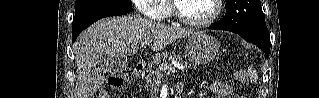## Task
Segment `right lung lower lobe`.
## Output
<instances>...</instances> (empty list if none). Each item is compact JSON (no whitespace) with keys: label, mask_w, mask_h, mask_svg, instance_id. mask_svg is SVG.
I'll return each instance as SVG.
<instances>
[{"label":"right lung lower lobe","mask_w":319,"mask_h":98,"mask_svg":"<svg viewBox=\"0 0 319 98\" xmlns=\"http://www.w3.org/2000/svg\"><path fill=\"white\" fill-rule=\"evenodd\" d=\"M133 11V9H120V8H105L100 10L86 11L79 14H75L72 24V40H76L77 36L81 31L90 26L92 23L98 19L109 16L123 15L128 12Z\"/></svg>","instance_id":"98d812e1"}]
</instances>
